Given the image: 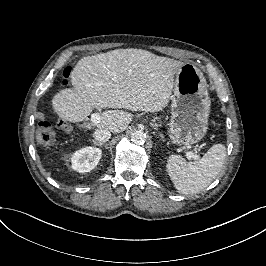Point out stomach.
<instances>
[{
    "label": "stomach",
    "mask_w": 266,
    "mask_h": 266,
    "mask_svg": "<svg viewBox=\"0 0 266 266\" xmlns=\"http://www.w3.org/2000/svg\"><path fill=\"white\" fill-rule=\"evenodd\" d=\"M169 135L172 142L182 145L200 141L207 132L211 101L206 79L194 65L183 64L176 73L170 97Z\"/></svg>",
    "instance_id": "stomach-1"
}]
</instances>
